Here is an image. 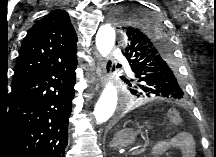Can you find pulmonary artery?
<instances>
[{
    "mask_svg": "<svg viewBox=\"0 0 216 157\" xmlns=\"http://www.w3.org/2000/svg\"><path fill=\"white\" fill-rule=\"evenodd\" d=\"M115 57H116V58H119L120 56H119L118 54L115 53Z\"/></svg>",
    "mask_w": 216,
    "mask_h": 157,
    "instance_id": "1",
    "label": "pulmonary artery"
}]
</instances>
